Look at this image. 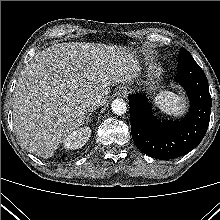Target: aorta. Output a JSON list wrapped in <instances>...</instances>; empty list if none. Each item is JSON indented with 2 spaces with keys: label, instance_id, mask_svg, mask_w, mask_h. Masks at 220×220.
I'll use <instances>...</instances> for the list:
<instances>
[{
  "label": "aorta",
  "instance_id": "aorta-1",
  "mask_svg": "<svg viewBox=\"0 0 220 220\" xmlns=\"http://www.w3.org/2000/svg\"><path fill=\"white\" fill-rule=\"evenodd\" d=\"M111 109L116 115H123L127 111L126 102L123 99H115L111 103Z\"/></svg>",
  "mask_w": 220,
  "mask_h": 220
}]
</instances>
